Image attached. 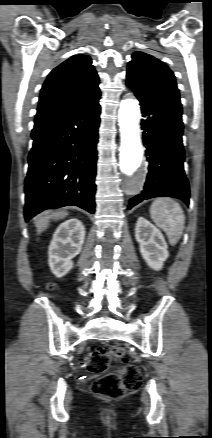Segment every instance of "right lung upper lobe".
<instances>
[{"label":"right lung upper lobe","instance_id":"right-lung-upper-lobe-1","mask_svg":"<svg viewBox=\"0 0 212 438\" xmlns=\"http://www.w3.org/2000/svg\"><path fill=\"white\" fill-rule=\"evenodd\" d=\"M87 55H76L47 77L39 98L38 114L92 103L100 98L99 77Z\"/></svg>","mask_w":212,"mask_h":438}]
</instances>
